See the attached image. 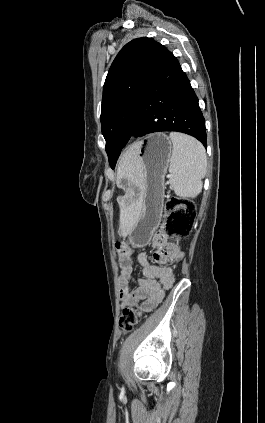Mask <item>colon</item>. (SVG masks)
I'll return each instance as SVG.
<instances>
[{
    "label": "colon",
    "instance_id": "5ec220e1",
    "mask_svg": "<svg viewBox=\"0 0 265 423\" xmlns=\"http://www.w3.org/2000/svg\"><path fill=\"white\" fill-rule=\"evenodd\" d=\"M167 217L165 221V232L171 240H177L187 236L194 225L196 217L195 206L186 199L172 197L165 203ZM129 247L125 244L117 245L118 256L121 261L127 259ZM136 307L123 309L119 317V326L124 332L132 331L138 324Z\"/></svg>",
    "mask_w": 265,
    "mask_h": 423
}]
</instances>
